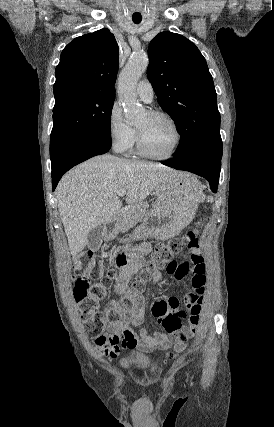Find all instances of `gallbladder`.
<instances>
[{"label": "gallbladder", "mask_w": 274, "mask_h": 427, "mask_svg": "<svg viewBox=\"0 0 274 427\" xmlns=\"http://www.w3.org/2000/svg\"><path fill=\"white\" fill-rule=\"evenodd\" d=\"M103 231L104 225H98V227L90 229L87 239L89 249H93V251H97V249H99L103 239Z\"/></svg>", "instance_id": "bac80fb5"}]
</instances>
